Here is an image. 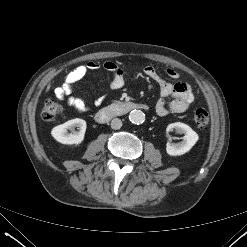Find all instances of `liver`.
I'll use <instances>...</instances> for the list:
<instances>
[{"label": "liver", "mask_w": 247, "mask_h": 247, "mask_svg": "<svg viewBox=\"0 0 247 247\" xmlns=\"http://www.w3.org/2000/svg\"><path fill=\"white\" fill-rule=\"evenodd\" d=\"M50 89V84H48L47 88H46V92L49 91Z\"/></svg>", "instance_id": "1"}]
</instances>
